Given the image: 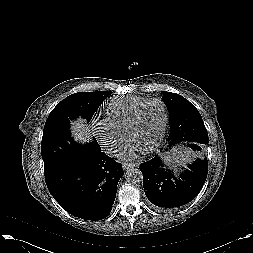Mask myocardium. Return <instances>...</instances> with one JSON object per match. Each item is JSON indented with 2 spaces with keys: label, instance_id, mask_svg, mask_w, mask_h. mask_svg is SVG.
Here are the masks:
<instances>
[{
  "label": "myocardium",
  "instance_id": "f54148a6",
  "mask_svg": "<svg viewBox=\"0 0 253 253\" xmlns=\"http://www.w3.org/2000/svg\"><path fill=\"white\" fill-rule=\"evenodd\" d=\"M153 102H158L162 105L163 107V111H164V121H163V126L161 129V132L157 138V140L149 147L146 149L147 152H153L155 151L163 142L166 131H167V127H168V121H169V113H168V107L166 102L161 99V98H150L148 100H146L144 103H142L134 112L133 116L131 117L126 130H125V134L128 137L130 132L135 128L141 113L143 112V110L151 103Z\"/></svg>",
  "mask_w": 253,
  "mask_h": 253
}]
</instances>
